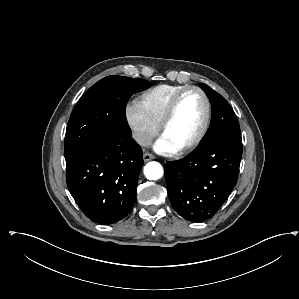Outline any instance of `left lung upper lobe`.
I'll return each mask as SVG.
<instances>
[{
  "mask_svg": "<svg viewBox=\"0 0 299 299\" xmlns=\"http://www.w3.org/2000/svg\"><path fill=\"white\" fill-rule=\"evenodd\" d=\"M199 86L207 94L211 103V123L199 145L217 139H232L242 142L237 117L228 102L205 84Z\"/></svg>",
  "mask_w": 299,
  "mask_h": 299,
  "instance_id": "obj_1",
  "label": "left lung upper lobe"
}]
</instances>
